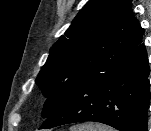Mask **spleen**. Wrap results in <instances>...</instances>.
Listing matches in <instances>:
<instances>
[{"label": "spleen", "instance_id": "spleen-1", "mask_svg": "<svg viewBox=\"0 0 151 131\" xmlns=\"http://www.w3.org/2000/svg\"><path fill=\"white\" fill-rule=\"evenodd\" d=\"M70 131H115L113 128L102 124H80L72 126Z\"/></svg>", "mask_w": 151, "mask_h": 131}]
</instances>
